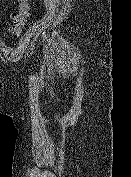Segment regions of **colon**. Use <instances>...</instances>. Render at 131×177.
<instances>
[{
    "label": "colon",
    "mask_w": 131,
    "mask_h": 177,
    "mask_svg": "<svg viewBox=\"0 0 131 177\" xmlns=\"http://www.w3.org/2000/svg\"><path fill=\"white\" fill-rule=\"evenodd\" d=\"M18 9L10 16L9 31L13 36H19L24 30L30 17L29 0H17Z\"/></svg>",
    "instance_id": "colon-1"
}]
</instances>
